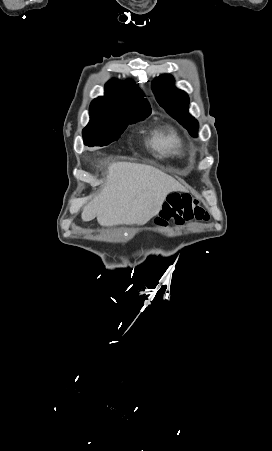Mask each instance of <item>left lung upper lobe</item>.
Returning <instances> with one entry per match:
<instances>
[{
    "instance_id": "obj_1",
    "label": "left lung upper lobe",
    "mask_w": 272,
    "mask_h": 451,
    "mask_svg": "<svg viewBox=\"0 0 272 451\" xmlns=\"http://www.w3.org/2000/svg\"><path fill=\"white\" fill-rule=\"evenodd\" d=\"M152 89L158 103L177 121L197 137L198 122L188 113L189 97L174 87L171 75H161L152 82Z\"/></svg>"
}]
</instances>
